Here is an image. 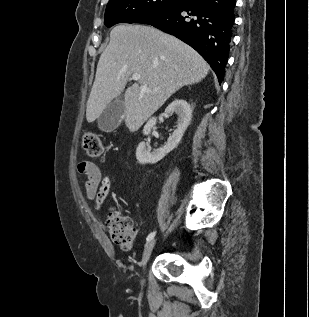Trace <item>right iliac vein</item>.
<instances>
[{
  "label": "right iliac vein",
  "instance_id": "obj_1",
  "mask_svg": "<svg viewBox=\"0 0 309 317\" xmlns=\"http://www.w3.org/2000/svg\"><path fill=\"white\" fill-rule=\"evenodd\" d=\"M156 244V240L153 239L151 240L150 242H148L145 246V249H144V252H143V255H142V260H141V267H142V272L145 271V267H146V264L150 258V255L152 253V250L154 248ZM145 283V280L142 279L141 280V284L143 285Z\"/></svg>",
  "mask_w": 309,
  "mask_h": 317
}]
</instances>
